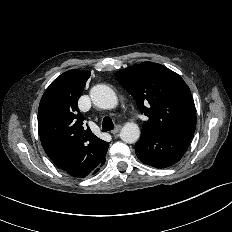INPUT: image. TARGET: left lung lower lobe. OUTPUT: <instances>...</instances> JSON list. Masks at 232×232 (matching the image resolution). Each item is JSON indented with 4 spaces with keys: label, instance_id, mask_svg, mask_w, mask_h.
Segmentation results:
<instances>
[{
    "label": "left lung lower lobe",
    "instance_id": "left-lung-lower-lobe-1",
    "mask_svg": "<svg viewBox=\"0 0 232 232\" xmlns=\"http://www.w3.org/2000/svg\"><path fill=\"white\" fill-rule=\"evenodd\" d=\"M187 133H152L142 131L135 144L137 157L146 165L166 168L177 163L192 139Z\"/></svg>",
    "mask_w": 232,
    "mask_h": 232
}]
</instances>
